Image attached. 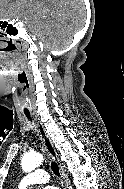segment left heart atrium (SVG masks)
<instances>
[{
    "label": "left heart atrium",
    "mask_w": 124,
    "mask_h": 189,
    "mask_svg": "<svg viewBox=\"0 0 124 189\" xmlns=\"http://www.w3.org/2000/svg\"><path fill=\"white\" fill-rule=\"evenodd\" d=\"M44 189H58V188L52 187V186H48V187H45Z\"/></svg>",
    "instance_id": "obj_1"
}]
</instances>
